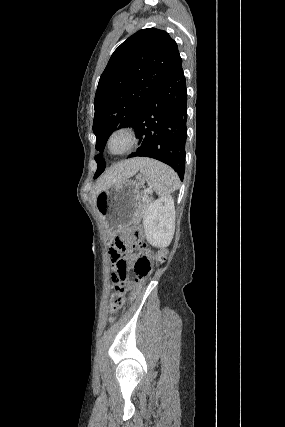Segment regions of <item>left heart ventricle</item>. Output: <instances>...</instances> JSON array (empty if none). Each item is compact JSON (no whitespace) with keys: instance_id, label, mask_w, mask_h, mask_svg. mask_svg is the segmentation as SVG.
I'll return each instance as SVG.
<instances>
[{"instance_id":"obj_1","label":"left heart ventricle","mask_w":285,"mask_h":427,"mask_svg":"<svg viewBox=\"0 0 285 427\" xmlns=\"http://www.w3.org/2000/svg\"><path fill=\"white\" fill-rule=\"evenodd\" d=\"M128 139L124 135L116 136L111 143V147L114 151H122L126 148Z\"/></svg>"}]
</instances>
